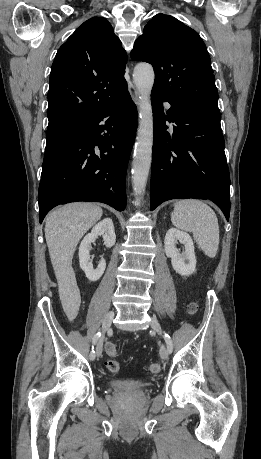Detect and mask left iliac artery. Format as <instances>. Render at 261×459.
Instances as JSON below:
<instances>
[{
    "mask_svg": "<svg viewBox=\"0 0 261 459\" xmlns=\"http://www.w3.org/2000/svg\"><path fill=\"white\" fill-rule=\"evenodd\" d=\"M164 340L167 344V349H168V352L171 353L173 351V342H172V339L171 337L168 335V334H164Z\"/></svg>",
    "mask_w": 261,
    "mask_h": 459,
    "instance_id": "1",
    "label": "left iliac artery"
}]
</instances>
